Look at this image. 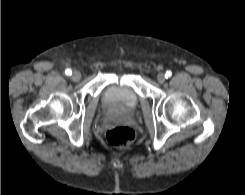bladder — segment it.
I'll list each match as a JSON object with an SVG mask.
<instances>
[{"label": "bladder", "mask_w": 245, "mask_h": 195, "mask_svg": "<svg viewBox=\"0 0 245 195\" xmlns=\"http://www.w3.org/2000/svg\"><path fill=\"white\" fill-rule=\"evenodd\" d=\"M103 103L107 108L131 111L138 106L139 96L130 85L113 84L104 91Z\"/></svg>", "instance_id": "bladder-1"}]
</instances>
